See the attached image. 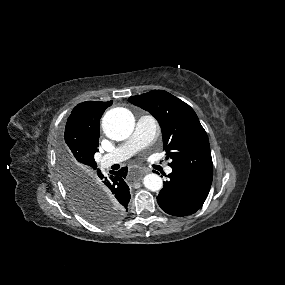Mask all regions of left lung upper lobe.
<instances>
[{
	"instance_id": "left-lung-upper-lobe-1",
	"label": "left lung upper lobe",
	"mask_w": 285,
	"mask_h": 285,
	"mask_svg": "<svg viewBox=\"0 0 285 285\" xmlns=\"http://www.w3.org/2000/svg\"><path fill=\"white\" fill-rule=\"evenodd\" d=\"M132 104L150 112L159 122L164 149L172 169L213 175V163L206 131L194 110L163 90L130 97Z\"/></svg>"
}]
</instances>
